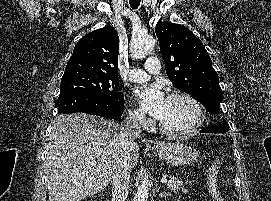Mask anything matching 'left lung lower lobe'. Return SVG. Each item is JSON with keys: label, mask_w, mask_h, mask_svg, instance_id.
<instances>
[{"label": "left lung lower lobe", "mask_w": 271, "mask_h": 201, "mask_svg": "<svg viewBox=\"0 0 271 201\" xmlns=\"http://www.w3.org/2000/svg\"><path fill=\"white\" fill-rule=\"evenodd\" d=\"M200 132H202V133H225L226 131L220 125H211V126H208L204 129H202Z\"/></svg>", "instance_id": "1"}]
</instances>
